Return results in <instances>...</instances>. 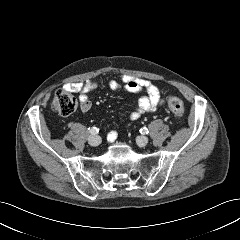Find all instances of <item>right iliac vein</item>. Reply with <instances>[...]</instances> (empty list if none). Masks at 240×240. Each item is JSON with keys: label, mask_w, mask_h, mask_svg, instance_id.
<instances>
[{"label": "right iliac vein", "mask_w": 240, "mask_h": 240, "mask_svg": "<svg viewBox=\"0 0 240 240\" xmlns=\"http://www.w3.org/2000/svg\"><path fill=\"white\" fill-rule=\"evenodd\" d=\"M88 143L93 147L99 146L101 143V138L98 135H91L88 137Z\"/></svg>", "instance_id": "63e3f726"}]
</instances>
